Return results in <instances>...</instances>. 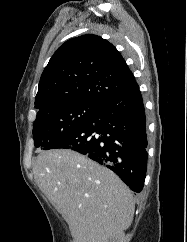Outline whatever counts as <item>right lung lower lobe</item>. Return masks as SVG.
Returning a JSON list of instances; mask_svg holds the SVG:
<instances>
[{"instance_id":"98d812e1","label":"right lung lower lobe","mask_w":187,"mask_h":242,"mask_svg":"<svg viewBox=\"0 0 187 242\" xmlns=\"http://www.w3.org/2000/svg\"><path fill=\"white\" fill-rule=\"evenodd\" d=\"M146 147V117L137 88L102 104L87 121L46 150L66 148L86 155L139 193L146 176Z\"/></svg>"}]
</instances>
